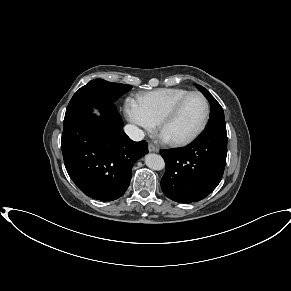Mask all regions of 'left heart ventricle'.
Instances as JSON below:
<instances>
[{"mask_svg": "<svg viewBox=\"0 0 291 291\" xmlns=\"http://www.w3.org/2000/svg\"><path fill=\"white\" fill-rule=\"evenodd\" d=\"M205 113V103L199 96L190 97L179 114L163 129L165 139H179L190 135L200 125Z\"/></svg>", "mask_w": 291, "mask_h": 291, "instance_id": "left-heart-ventricle-1", "label": "left heart ventricle"}]
</instances>
